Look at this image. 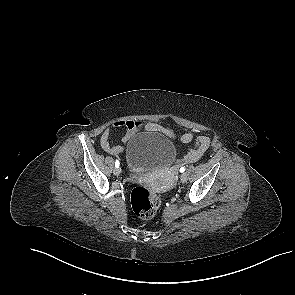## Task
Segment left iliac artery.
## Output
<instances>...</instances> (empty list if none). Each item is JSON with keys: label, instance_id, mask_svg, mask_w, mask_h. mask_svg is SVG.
<instances>
[{"label": "left iliac artery", "instance_id": "1", "mask_svg": "<svg viewBox=\"0 0 295 295\" xmlns=\"http://www.w3.org/2000/svg\"><path fill=\"white\" fill-rule=\"evenodd\" d=\"M185 171V167L180 168V172L183 173Z\"/></svg>", "mask_w": 295, "mask_h": 295}]
</instances>
